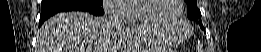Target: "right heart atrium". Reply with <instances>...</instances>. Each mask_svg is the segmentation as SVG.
<instances>
[{
    "instance_id": "right-heart-atrium-1",
    "label": "right heart atrium",
    "mask_w": 261,
    "mask_h": 52,
    "mask_svg": "<svg viewBox=\"0 0 261 52\" xmlns=\"http://www.w3.org/2000/svg\"><path fill=\"white\" fill-rule=\"evenodd\" d=\"M125 0H104L102 8L110 17L125 18L128 16L127 10L123 9Z\"/></svg>"
}]
</instances>
